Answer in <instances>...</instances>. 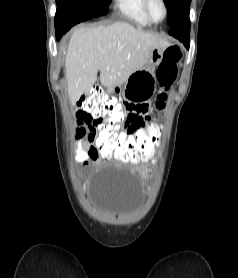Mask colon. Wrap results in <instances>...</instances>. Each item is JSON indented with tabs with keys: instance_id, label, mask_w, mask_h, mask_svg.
I'll return each instance as SVG.
<instances>
[{
	"instance_id": "colon-1",
	"label": "colon",
	"mask_w": 238,
	"mask_h": 278,
	"mask_svg": "<svg viewBox=\"0 0 238 278\" xmlns=\"http://www.w3.org/2000/svg\"><path fill=\"white\" fill-rule=\"evenodd\" d=\"M182 58L181 50L176 46L166 49L162 63L157 70L160 87L166 91L175 82L178 75V64ZM166 94L158 96L157 107H163ZM131 104H122L115 97L109 96L99 88H92L78 101L76 113L77 137L86 134V126L96 125L95 145L99 159H116V162H149L154 156L157 137L163 130H136L134 137L126 136L121 126L127 118ZM147 129H163V124H147ZM147 135H152L147 137Z\"/></svg>"
}]
</instances>
